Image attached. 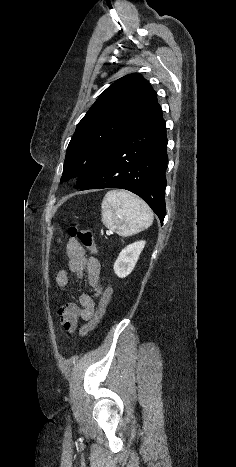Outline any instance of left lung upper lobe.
I'll use <instances>...</instances> for the list:
<instances>
[{
	"label": "left lung upper lobe",
	"instance_id": "obj_1",
	"mask_svg": "<svg viewBox=\"0 0 236 467\" xmlns=\"http://www.w3.org/2000/svg\"><path fill=\"white\" fill-rule=\"evenodd\" d=\"M157 105L156 92L138 73L111 84L77 125L61 181L79 176L77 188L85 185L119 138Z\"/></svg>",
	"mask_w": 236,
	"mask_h": 467
}]
</instances>
